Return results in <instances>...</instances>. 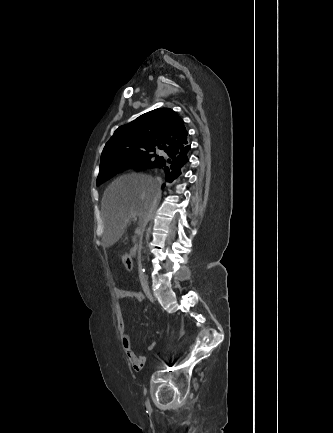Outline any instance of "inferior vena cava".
Returning a JSON list of instances; mask_svg holds the SVG:
<instances>
[{
    "mask_svg": "<svg viewBox=\"0 0 333 433\" xmlns=\"http://www.w3.org/2000/svg\"><path fill=\"white\" fill-rule=\"evenodd\" d=\"M155 180H156V188H157V191H158V193H160V188H161L162 181H161L160 178H156ZM150 217H151V214L149 213V214H147L146 217L144 218V226H143V230H142V231L145 230V227H146V225H147V223H148Z\"/></svg>",
    "mask_w": 333,
    "mask_h": 433,
    "instance_id": "602c4592",
    "label": "inferior vena cava"
}]
</instances>
